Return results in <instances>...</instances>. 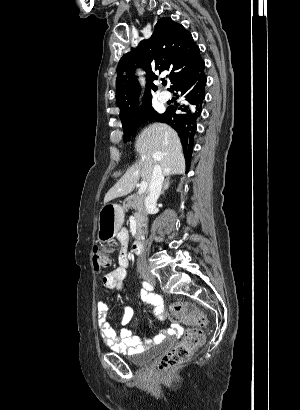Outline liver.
Returning <instances> with one entry per match:
<instances>
[{"label": "liver", "mask_w": 300, "mask_h": 410, "mask_svg": "<svg viewBox=\"0 0 300 410\" xmlns=\"http://www.w3.org/2000/svg\"><path fill=\"white\" fill-rule=\"evenodd\" d=\"M135 149L140 155L139 162L107 192L104 203L131 193L140 178L150 183L155 165H159L166 176L185 173L180 138L166 124L154 123L146 127L136 139Z\"/></svg>", "instance_id": "6515ba94"}]
</instances>
